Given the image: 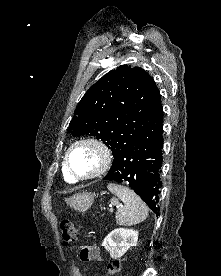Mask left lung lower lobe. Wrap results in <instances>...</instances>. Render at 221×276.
I'll return each mask as SVG.
<instances>
[{
  "mask_svg": "<svg viewBox=\"0 0 221 276\" xmlns=\"http://www.w3.org/2000/svg\"><path fill=\"white\" fill-rule=\"evenodd\" d=\"M163 111L147 122L123 149L113 155L105 180L127 184L159 215Z\"/></svg>",
  "mask_w": 221,
  "mask_h": 276,
  "instance_id": "1",
  "label": "left lung lower lobe"
}]
</instances>
